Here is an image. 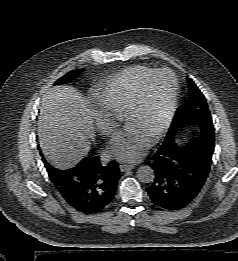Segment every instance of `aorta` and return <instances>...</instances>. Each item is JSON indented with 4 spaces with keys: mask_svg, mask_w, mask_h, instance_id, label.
I'll list each match as a JSON object with an SVG mask.
<instances>
[{
    "mask_svg": "<svg viewBox=\"0 0 238 261\" xmlns=\"http://www.w3.org/2000/svg\"><path fill=\"white\" fill-rule=\"evenodd\" d=\"M137 178L142 183L153 182L155 178L154 170L148 165L140 166L137 170Z\"/></svg>",
    "mask_w": 238,
    "mask_h": 261,
    "instance_id": "obj_1",
    "label": "aorta"
}]
</instances>
